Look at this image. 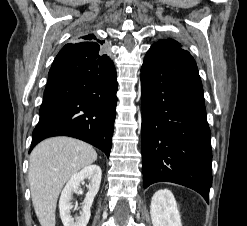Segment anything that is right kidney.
<instances>
[{
  "label": "right kidney",
  "instance_id": "obj_1",
  "mask_svg": "<svg viewBox=\"0 0 247 226\" xmlns=\"http://www.w3.org/2000/svg\"><path fill=\"white\" fill-rule=\"evenodd\" d=\"M102 171L98 165H89L83 168L80 172L74 174L65 185L59 200L60 217L64 226H87L91 211L90 208L93 204V200L98 193L101 183ZM85 179L90 180L88 186V192L82 205V211L80 216H71V210L74 208L71 203L72 194L77 193L80 183Z\"/></svg>",
  "mask_w": 247,
  "mask_h": 226
}]
</instances>
